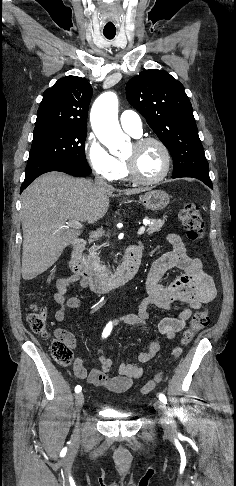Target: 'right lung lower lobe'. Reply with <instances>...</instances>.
I'll return each mask as SVG.
<instances>
[{
    "label": "right lung lower lobe",
    "mask_w": 236,
    "mask_h": 486,
    "mask_svg": "<svg viewBox=\"0 0 236 486\" xmlns=\"http://www.w3.org/2000/svg\"><path fill=\"white\" fill-rule=\"evenodd\" d=\"M60 171L77 177H84L91 173V168L88 165L58 162L52 160H40L27 163L25 180L21 185L20 193L38 176L50 172Z\"/></svg>",
    "instance_id": "obj_1"
}]
</instances>
